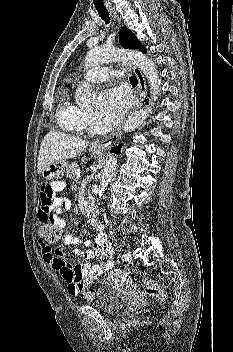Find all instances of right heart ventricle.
<instances>
[{"label":"right heart ventricle","mask_w":233,"mask_h":352,"mask_svg":"<svg viewBox=\"0 0 233 352\" xmlns=\"http://www.w3.org/2000/svg\"><path fill=\"white\" fill-rule=\"evenodd\" d=\"M60 128L71 134H78L84 129L83 110L68 97L58 106L56 113Z\"/></svg>","instance_id":"e07e8e85"}]
</instances>
